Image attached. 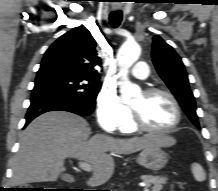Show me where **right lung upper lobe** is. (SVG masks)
Segmentation results:
<instances>
[{
    "mask_svg": "<svg viewBox=\"0 0 218 191\" xmlns=\"http://www.w3.org/2000/svg\"><path fill=\"white\" fill-rule=\"evenodd\" d=\"M97 55L91 33L83 27H76L57 39L45 52L43 60L61 62L98 81L97 68L101 66V59Z\"/></svg>",
    "mask_w": 218,
    "mask_h": 191,
    "instance_id": "cb5924a9",
    "label": "right lung upper lobe"
}]
</instances>
